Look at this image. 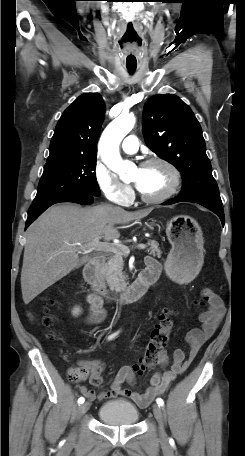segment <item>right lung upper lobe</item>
<instances>
[{
    "label": "right lung upper lobe",
    "mask_w": 245,
    "mask_h": 456,
    "mask_svg": "<svg viewBox=\"0 0 245 456\" xmlns=\"http://www.w3.org/2000/svg\"><path fill=\"white\" fill-rule=\"evenodd\" d=\"M105 114L98 93L80 95L62 114L50 142L46 163L82 156H97V139Z\"/></svg>",
    "instance_id": "right-lung-upper-lobe-1"
}]
</instances>
